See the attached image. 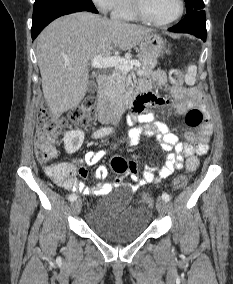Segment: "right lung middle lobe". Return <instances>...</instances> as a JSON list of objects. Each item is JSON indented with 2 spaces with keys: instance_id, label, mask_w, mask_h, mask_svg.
Here are the masks:
<instances>
[{
  "instance_id": "obj_1",
  "label": "right lung middle lobe",
  "mask_w": 233,
  "mask_h": 284,
  "mask_svg": "<svg viewBox=\"0 0 233 284\" xmlns=\"http://www.w3.org/2000/svg\"><path fill=\"white\" fill-rule=\"evenodd\" d=\"M57 9H87L97 12L92 0H35L33 19Z\"/></svg>"
}]
</instances>
